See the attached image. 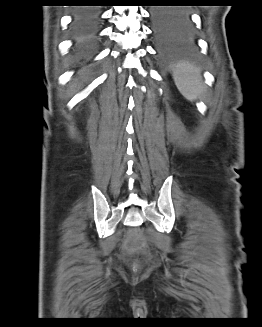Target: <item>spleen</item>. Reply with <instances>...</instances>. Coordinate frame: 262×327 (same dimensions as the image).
<instances>
[{
  "label": "spleen",
  "mask_w": 262,
  "mask_h": 327,
  "mask_svg": "<svg viewBox=\"0 0 262 327\" xmlns=\"http://www.w3.org/2000/svg\"><path fill=\"white\" fill-rule=\"evenodd\" d=\"M173 78L180 93L190 101L197 99L204 92L200 72L193 65L178 64L173 70Z\"/></svg>",
  "instance_id": "1"
}]
</instances>
